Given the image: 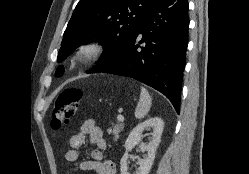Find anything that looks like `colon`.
I'll list each match as a JSON object with an SVG mask.
<instances>
[{"instance_id": "5ec220e1", "label": "colon", "mask_w": 249, "mask_h": 174, "mask_svg": "<svg viewBox=\"0 0 249 174\" xmlns=\"http://www.w3.org/2000/svg\"><path fill=\"white\" fill-rule=\"evenodd\" d=\"M82 91L75 87L63 89L54 104L51 116V126L59 129L69 124L79 106Z\"/></svg>"}]
</instances>
